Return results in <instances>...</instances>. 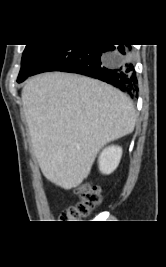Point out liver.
I'll return each mask as SVG.
<instances>
[{
	"instance_id": "obj_1",
	"label": "liver",
	"mask_w": 166,
	"mask_h": 267,
	"mask_svg": "<svg viewBox=\"0 0 166 267\" xmlns=\"http://www.w3.org/2000/svg\"><path fill=\"white\" fill-rule=\"evenodd\" d=\"M22 104L43 175L69 190L87 178L107 143L133 132L135 109L122 92L98 80L50 72L30 79Z\"/></svg>"
}]
</instances>
